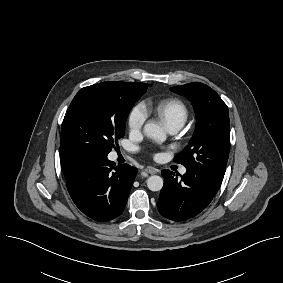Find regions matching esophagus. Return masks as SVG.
<instances>
[{"label": "esophagus", "instance_id": "34e87169", "mask_svg": "<svg viewBox=\"0 0 283 283\" xmlns=\"http://www.w3.org/2000/svg\"><path fill=\"white\" fill-rule=\"evenodd\" d=\"M144 171L148 174H151V175L157 173V169H155L154 167H147V168L144 169Z\"/></svg>", "mask_w": 283, "mask_h": 283}]
</instances>
